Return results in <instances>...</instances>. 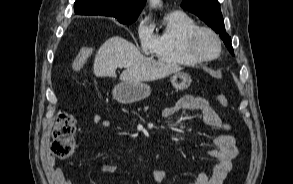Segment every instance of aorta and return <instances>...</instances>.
<instances>
[{
	"label": "aorta",
	"mask_w": 293,
	"mask_h": 184,
	"mask_svg": "<svg viewBox=\"0 0 293 184\" xmlns=\"http://www.w3.org/2000/svg\"><path fill=\"white\" fill-rule=\"evenodd\" d=\"M160 3H161V0H150V6L152 8H155V7L159 6Z\"/></svg>",
	"instance_id": "aorta-1"
}]
</instances>
